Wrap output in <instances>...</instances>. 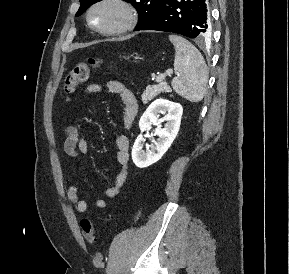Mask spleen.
I'll return each instance as SVG.
<instances>
[{
	"instance_id": "obj_1",
	"label": "spleen",
	"mask_w": 289,
	"mask_h": 274,
	"mask_svg": "<svg viewBox=\"0 0 289 274\" xmlns=\"http://www.w3.org/2000/svg\"><path fill=\"white\" fill-rule=\"evenodd\" d=\"M175 47L174 69L178 75L172 80L174 91L191 102L201 101L206 93L208 69L203 56L189 41L169 35Z\"/></svg>"
}]
</instances>
